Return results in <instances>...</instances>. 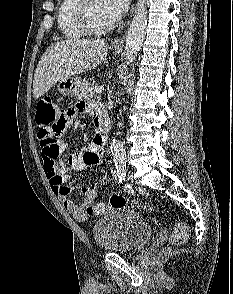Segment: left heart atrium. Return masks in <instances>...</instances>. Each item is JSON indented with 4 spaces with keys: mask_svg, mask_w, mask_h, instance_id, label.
Instances as JSON below:
<instances>
[{
    "mask_svg": "<svg viewBox=\"0 0 233 294\" xmlns=\"http://www.w3.org/2000/svg\"><path fill=\"white\" fill-rule=\"evenodd\" d=\"M107 12L114 20L118 19L128 9L130 0H103Z\"/></svg>",
    "mask_w": 233,
    "mask_h": 294,
    "instance_id": "1",
    "label": "left heart atrium"
}]
</instances>
